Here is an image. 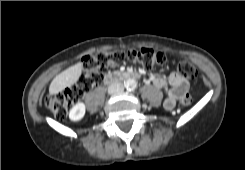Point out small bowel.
<instances>
[{
    "mask_svg": "<svg viewBox=\"0 0 245 170\" xmlns=\"http://www.w3.org/2000/svg\"><path fill=\"white\" fill-rule=\"evenodd\" d=\"M147 82L152 83L158 89L170 86L166 92L164 101V108L168 111L172 110L177 101L185 97L189 90L188 80L180 76L177 72H172L167 78L150 77Z\"/></svg>",
    "mask_w": 245,
    "mask_h": 170,
    "instance_id": "small-bowel-1",
    "label": "small bowel"
}]
</instances>
